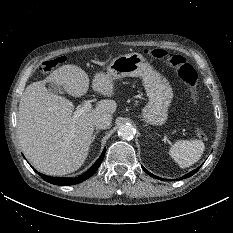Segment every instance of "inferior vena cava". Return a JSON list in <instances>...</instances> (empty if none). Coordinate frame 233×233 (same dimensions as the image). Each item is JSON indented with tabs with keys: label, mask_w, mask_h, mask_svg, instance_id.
I'll use <instances>...</instances> for the list:
<instances>
[{
	"label": "inferior vena cava",
	"mask_w": 233,
	"mask_h": 233,
	"mask_svg": "<svg viewBox=\"0 0 233 233\" xmlns=\"http://www.w3.org/2000/svg\"><path fill=\"white\" fill-rule=\"evenodd\" d=\"M112 122V115L101 114L94 119V125L98 129H106Z\"/></svg>",
	"instance_id": "inferior-vena-cava-1"
}]
</instances>
